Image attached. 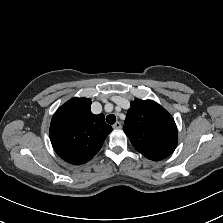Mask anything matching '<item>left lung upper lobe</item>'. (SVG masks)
Here are the masks:
<instances>
[{"instance_id":"left-lung-upper-lobe-1","label":"left lung upper lobe","mask_w":223,"mask_h":223,"mask_svg":"<svg viewBox=\"0 0 223 223\" xmlns=\"http://www.w3.org/2000/svg\"><path fill=\"white\" fill-rule=\"evenodd\" d=\"M124 132L138 152L154 161L171 155L178 143L174 119L152 100L136 99L131 103Z\"/></svg>"}]
</instances>
